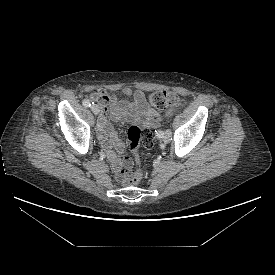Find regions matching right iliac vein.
<instances>
[{"instance_id":"right-iliac-vein-1","label":"right iliac vein","mask_w":275,"mask_h":275,"mask_svg":"<svg viewBox=\"0 0 275 275\" xmlns=\"http://www.w3.org/2000/svg\"><path fill=\"white\" fill-rule=\"evenodd\" d=\"M91 110L95 115H98L100 112L99 106L97 104H92L91 105Z\"/></svg>"}]
</instances>
